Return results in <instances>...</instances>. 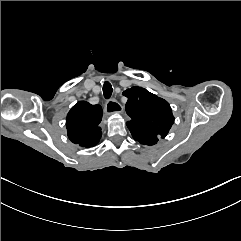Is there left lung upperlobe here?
Wrapping results in <instances>:
<instances>
[{"instance_id": "5c2ea615", "label": "left lung upper lobe", "mask_w": 241, "mask_h": 241, "mask_svg": "<svg viewBox=\"0 0 241 241\" xmlns=\"http://www.w3.org/2000/svg\"><path fill=\"white\" fill-rule=\"evenodd\" d=\"M123 95L128 98L125 109L131 120L126 124L134 140L154 145L168 134L174 116L167 101L141 87L127 89Z\"/></svg>"}]
</instances>
